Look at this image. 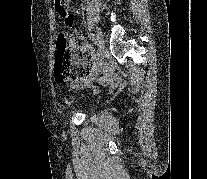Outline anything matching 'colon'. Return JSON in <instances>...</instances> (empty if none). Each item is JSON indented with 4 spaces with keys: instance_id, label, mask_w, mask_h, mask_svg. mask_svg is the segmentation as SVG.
<instances>
[{
    "instance_id": "1",
    "label": "colon",
    "mask_w": 207,
    "mask_h": 179,
    "mask_svg": "<svg viewBox=\"0 0 207 179\" xmlns=\"http://www.w3.org/2000/svg\"><path fill=\"white\" fill-rule=\"evenodd\" d=\"M55 9L71 24V0H55ZM72 44L66 33H59L55 41V70L54 75L59 82L77 83L85 79L92 70L91 59L80 50H72ZM73 48V47H72Z\"/></svg>"
}]
</instances>
